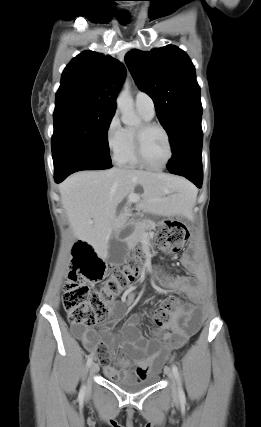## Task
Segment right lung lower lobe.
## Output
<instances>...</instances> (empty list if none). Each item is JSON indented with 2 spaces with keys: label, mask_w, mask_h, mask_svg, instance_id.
Returning <instances> with one entry per match:
<instances>
[{
  "label": "right lung lower lobe",
  "mask_w": 261,
  "mask_h": 427,
  "mask_svg": "<svg viewBox=\"0 0 261 427\" xmlns=\"http://www.w3.org/2000/svg\"><path fill=\"white\" fill-rule=\"evenodd\" d=\"M55 167V181L57 183L62 182L70 174L80 170H102L111 168V163L93 162L83 159H64L57 164Z\"/></svg>",
  "instance_id": "98d812e1"
}]
</instances>
